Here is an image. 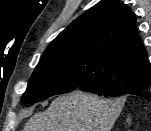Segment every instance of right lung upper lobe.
<instances>
[{"instance_id":"obj_1","label":"right lung upper lobe","mask_w":151,"mask_h":131,"mask_svg":"<svg viewBox=\"0 0 151 131\" xmlns=\"http://www.w3.org/2000/svg\"><path fill=\"white\" fill-rule=\"evenodd\" d=\"M136 16L118 0H103L74 20L47 48L72 44L93 57L106 88L126 92L150 84L151 68Z\"/></svg>"}]
</instances>
